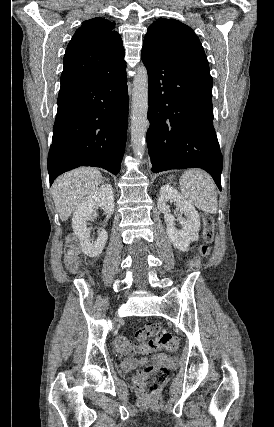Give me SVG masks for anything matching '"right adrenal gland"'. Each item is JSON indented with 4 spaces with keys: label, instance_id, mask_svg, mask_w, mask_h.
<instances>
[{
    "label": "right adrenal gland",
    "instance_id": "2a0ac1e0",
    "mask_svg": "<svg viewBox=\"0 0 274 427\" xmlns=\"http://www.w3.org/2000/svg\"><path fill=\"white\" fill-rule=\"evenodd\" d=\"M103 182H109V180H103Z\"/></svg>",
    "mask_w": 274,
    "mask_h": 427
}]
</instances>
